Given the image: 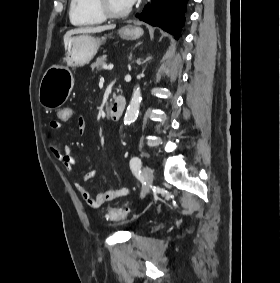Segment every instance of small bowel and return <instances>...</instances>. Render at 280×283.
Masks as SVG:
<instances>
[{
  "label": "small bowel",
  "instance_id": "obj_1",
  "mask_svg": "<svg viewBox=\"0 0 280 283\" xmlns=\"http://www.w3.org/2000/svg\"><path fill=\"white\" fill-rule=\"evenodd\" d=\"M74 115V112H73ZM73 117V116H72ZM77 124L79 130L82 132L86 129L87 122L84 116H77ZM50 127L53 130H59L61 128V122L59 119L53 120L50 122ZM51 152L53 156L62 164V166L68 171L72 173L75 165L77 164V159L73 154V151L70 147L66 146L64 148H60L59 146L52 145ZM95 177V171H89L78 178H75L74 184L77 190L81 193V196L85 200L86 204L93 209L100 208L104 203L113 201L119 197H125L129 194V189L126 187H120L115 189H109L103 192H100L96 196H94L87 188L82 184L86 181H91Z\"/></svg>",
  "mask_w": 280,
  "mask_h": 283
}]
</instances>
